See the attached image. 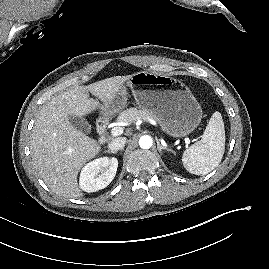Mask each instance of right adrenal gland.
Masks as SVG:
<instances>
[{"label":"right adrenal gland","mask_w":269,"mask_h":269,"mask_svg":"<svg viewBox=\"0 0 269 269\" xmlns=\"http://www.w3.org/2000/svg\"><path fill=\"white\" fill-rule=\"evenodd\" d=\"M106 152L107 153H113V154H116L117 153V151H111V150H107Z\"/></svg>","instance_id":"obj_1"}]
</instances>
